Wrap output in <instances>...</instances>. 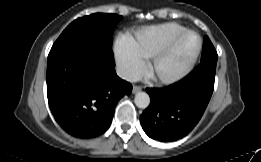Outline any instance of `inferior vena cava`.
Returning a JSON list of instances; mask_svg holds the SVG:
<instances>
[{"mask_svg": "<svg viewBox=\"0 0 261 162\" xmlns=\"http://www.w3.org/2000/svg\"><path fill=\"white\" fill-rule=\"evenodd\" d=\"M116 73L120 78L129 82H136L138 80L137 74L126 66H117Z\"/></svg>", "mask_w": 261, "mask_h": 162, "instance_id": "1", "label": "inferior vena cava"}]
</instances>
